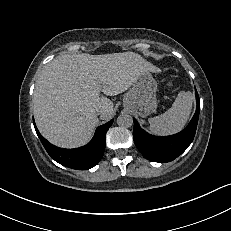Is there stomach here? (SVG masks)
Instances as JSON below:
<instances>
[{
  "label": "stomach",
  "instance_id": "0dacf381",
  "mask_svg": "<svg viewBox=\"0 0 231 231\" xmlns=\"http://www.w3.org/2000/svg\"><path fill=\"white\" fill-rule=\"evenodd\" d=\"M157 83L150 72L140 74L132 83L123 99L124 108L142 117L148 116L157 108Z\"/></svg>",
  "mask_w": 231,
  "mask_h": 231
}]
</instances>
